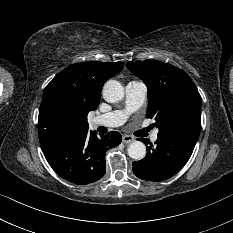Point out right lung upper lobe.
Listing matches in <instances>:
<instances>
[{
    "instance_id": "1",
    "label": "right lung upper lobe",
    "mask_w": 233,
    "mask_h": 233,
    "mask_svg": "<svg viewBox=\"0 0 233 233\" xmlns=\"http://www.w3.org/2000/svg\"><path fill=\"white\" fill-rule=\"evenodd\" d=\"M122 62L72 64L46 86L38 117L39 138L88 128L87 114L98 107L103 83L123 69ZM62 107L68 113L56 119L53 112Z\"/></svg>"
}]
</instances>
